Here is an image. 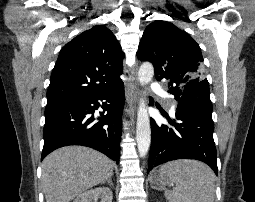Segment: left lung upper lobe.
<instances>
[{
  "label": "left lung upper lobe",
  "instance_id": "1",
  "mask_svg": "<svg viewBox=\"0 0 255 202\" xmlns=\"http://www.w3.org/2000/svg\"><path fill=\"white\" fill-rule=\"evenodd\" d=\"M137 56L154 65L158 81L169 80L168 92L175 96L177 110L212 114L201 49L189 34L172 23L156 20L145 29Z\"/></svg>",
  "mask_w": 255,
  "mask_h": 202
}]
</instances>
